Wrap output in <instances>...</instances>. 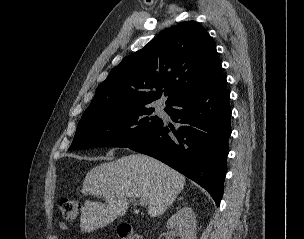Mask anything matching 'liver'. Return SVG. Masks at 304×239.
<instances>
[{
    "instance_id": "1",
    "label": "liver",
    "mask_w": 304,
    "mask_h": 239,
    "mask_svg": "<svg viewBox=\"0 0 304 239\" xmlns=\"http://www.w3.org/2000/svg\"><path fill=\"white\" fill-rule=\"evenodd\" d=\"M184 185L182 174L143 154L100 164L87 173L82 193L103 196L105 203L85 202L81 230L92 232L124 215L129 207V197L145 198L149 215L159 216L173 203Z\"/></svg>"
}]
</instances>
